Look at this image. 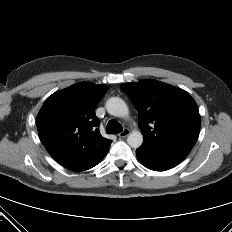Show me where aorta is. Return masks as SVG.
<instances>
[{
    "instance_id": "1",
    "label": "aorta",
    "mask_w": 232,
    "mask_h": 232,
    "mask_svg": "<svg viewBox=\"0 0 232 232\" xmlns=\"http://www.w3.org/2000/svg\"><path fill=\"white\" fill-rule=\"evenodd\" d=\"M106 110L110 115L126 117L129 114L125 101L119 97H111L106 102ZM127 143L132 148H138L143 143V135L140 131L134 130L127 137Z\"/></svg>"
}]
</instances>
